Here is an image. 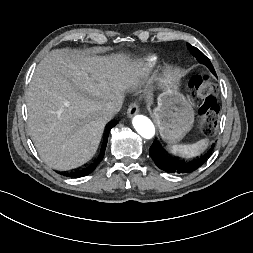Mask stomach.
<instances>
[{"label":"stomach","mask_w":253,"mask_h":253,"mask_svg":"<svg viewBox=\"0 0 253 253\" xmlns=\"http://www.w3.org/2000/svg\"><path fill=\"white\" fill-rule=\"evenodd\" d=\"M164 92L158 97L154 117L163 140L180 141L192 128L194 111L189 101L178 91L179 81L173 74L160 79Z\"/></svg>","instance_id":"0dacf381"}]
</instances>
